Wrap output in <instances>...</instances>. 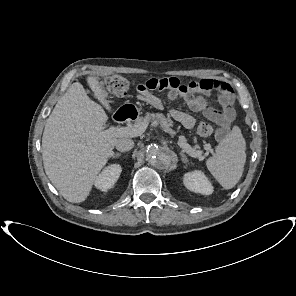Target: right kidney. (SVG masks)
Masks as SVG:
<instances>
[{
    "instance_id": "ca27d5eb",
    "label": "right kidney",
    "mask_w": 296,
    "mask_h": 296,
    "mask_svg": "<svg viewBox=\"0 0 296 296\" xmlns=\"http://www.w3.org/2000/svg\"><path fill=\"white\" fill-rule=\"evenodd\" d=\"M122 168L119 164H111L103 169V171L96 177L94 185L101 191H108L114 186L118 180Z\"/></svg>"
}]
</instances>
